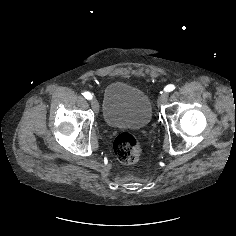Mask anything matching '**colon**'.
I'll list each match as a JSON object with an SVG mask.
<instances>
[{
  "label": "colon",
  "mask_w": 236,
  "mask_h": 236,
  "mask_svg": "<svg viewBox=\"0 0 236 236\" xmlns=\"http://www.w3.org/2000/svg\"><path fill=\"white\" fill-rule=\"evenodd\" d=\"M113 146L117 158L125 164L136 163L143 151L140 140L130 133H120L117 135Z\"/></svg>",
  "instance_id": "1"
}]
</instances>
